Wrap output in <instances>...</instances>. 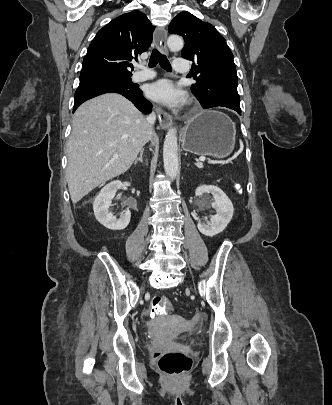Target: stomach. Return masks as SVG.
<instances>
[{
    "mask_svg": "<svg viewBox=\"0 0 332 405\" xmlns=\"http://www.w3.org/2000/svg\"><path fill=\"white\" fill-rule=\"evenodd\" d=\"M234 144L235 126L219 111H203L183 129L182 146L186 152L225 158L232 153Z\"/></svg>",
    "mask_w": 332,
    "mask_h": 405,
    "instance_id": "1",
    "label": "stomach"
}]
</instances>
